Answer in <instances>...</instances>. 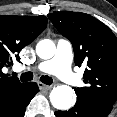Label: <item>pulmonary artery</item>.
I'll list each match as a JSON object with an SVG mask.
<instances>
[{"label": "pulmonary artery", "instance_id": "obj_1", "mask_svg": "<svg viewBox=\"0 0 117 117\" xmlns=\"http://www.w3.org/2000/svg\"><path fill=\"white\" fill-rule=\"evenodd\" d=\"M72 61V44L68 40L60 38L57 41L54 57L39 63L36 68L41 72L56 75L69 85H76L79 78L72 71Z\"/></svg>", "mask_w": 117, "mask_h": 117}]
</instances>
